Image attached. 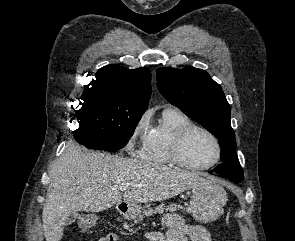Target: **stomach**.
<instances>
[{"instance_id":"1","label":"stomach","mask_w":295,"mask_h":241,"mask_svg":"<svg viewBox=\"0 0 295 241\" xmlns=\"http://www.w3.org/2000/svg\"><path fill=\"white\" fill-rule=\"evenodd\" d=\"M226 202L227 194L224 188L213 181H209L192 188L188 210L196 221L204 224L210 223L220 217ZM121 204L117 205V209L128 219L135 218L141 213V207L137 204H126L125 208Z\"/></svg>"}]
</instances>
